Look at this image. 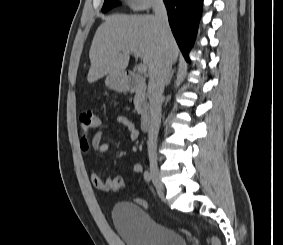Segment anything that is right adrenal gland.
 <instances>
[{"instance_id": "2a0ac1e0", "label": "right adrenal gland", "mask_w": 283, "mask_h": 245, "mask_svg": "<svg viewBox=\"0 0 283 245\" xmlns=\"http://www.w3.org/2000/svg\"><path fill=\"white\" fill-rule=\"evenodd\" d=\"M174 70H172L171 71V73H170V75H169V78H168V80H167V82H166V86H168L169 84H170V82H171V80H172V77H173V75H174Z\"/></svg>"}]
</instances>
